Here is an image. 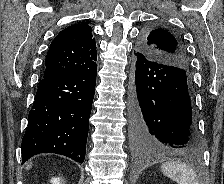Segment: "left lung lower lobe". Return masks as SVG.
<instances>
[{
	"label": "left lung lower lobe",
	"mask_w": 224,
	"mask_h": 184,
	"mask_svg": "<svg viewBox=\"0 0 224 184\" xmlns=\"http://www.w3.org/2000/svg\"><path fill=\"white\" fill-rule=\"evenodd\" d=\"M133 141L143 154H197L190 77L187 70L136 52Z\"/></svg>",
	"instance_id": "obj_1"
}]
</instances>
